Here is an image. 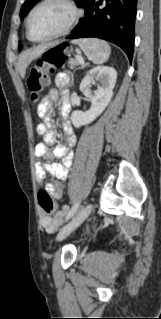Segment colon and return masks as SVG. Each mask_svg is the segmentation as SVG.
I'll return each mask as SVG.
<instances>
[{
    "instance_id": "obj_1",
    "label": "colon",
    "mask_w": 161,
    "mask_h": 319,
    "mask_svg": "<svg viewBox=\"0 0 161 319\" xmlns=\"http://www.w3.org/2000/svg\"><path fill=\"white\" fill-rule=\"evenodd\" d=\"M73 54L72 48L67 44H58L47 50L32 67L27 77V85L34 99H36L42 89L49 82V70L62 67ZM38 202L45 212H52L56 207V202L47 190H40Z\"/></svg>"
}]
</instances>
